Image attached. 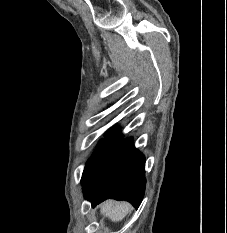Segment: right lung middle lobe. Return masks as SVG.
<instances>
[{
  "instance_id": "dd1d6c3e",
  "label": "right lung middle lobe",
  "mask_w": 227,
  "mask_h": 233,
  "mask_svg": "<svg viewBox=\"0 0 227 233\" xmlns=\"http://www.w3.org/2000/svg\"><path fill=\"white\" fill-rule=\"evenodd\" d=\"M106 137L111 140L103 139L100 141L99 146L96 149V152L86 164V167L82 175V181L89 174V172L95 166V164L99 161V159L104 155V153L113 145V143L121 138L119 136H114V135H107Z\"/></svg>"
}]
</instances>
